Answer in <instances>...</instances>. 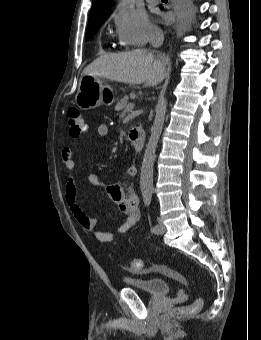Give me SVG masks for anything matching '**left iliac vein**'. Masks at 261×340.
Wrapping results in <instances>:
<instances>
[{
  "label": "left iliac vein",
  "instance_id": "4c4485c4",
  "mask_svg": "<svg viewBox=\"0 0 261 340\" xmlns=\"http://www.w3.org/2000/svg\"><path fill=\"white\" fill-rule=\"evenodd\" d=\"M158 226H159V229L155 233L156 234H164L166 232V226L164 225V223L160 219L158 221Z\"/></svg>",
  "mask_w": 261,
  "mask_h": 340
}]
</instances>
